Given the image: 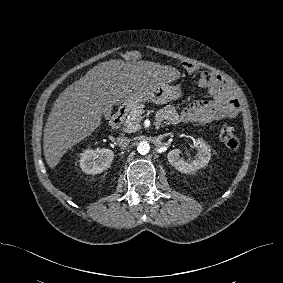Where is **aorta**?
Masks as SVG:
<instances>
[{
    "label": "aorta",
    "instance_id": "obj_1",
    "mask_svg": "<svg viewBox=\"0 0 283 283\" xmlns=\"http://www.w3.org/2000/svg\"><path fill=\"white\" fill-rule=\"evenodd\" d=\"M137 150L140 154H147L150 151V145L147 141H140L137 145Z\"/></svg>",
    "mask_w": 283,
    "mask_h": 283
}]
</instances>
